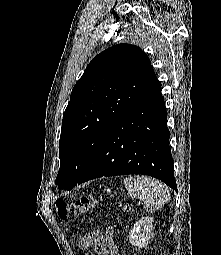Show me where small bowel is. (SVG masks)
<instances>
[{"label": "small bowel", "instance_id": "c3829d8e", "mask_svg": "<svg viewBox=\"0 0 221 255\" xmlns=\"http://www.w3.org/2000/svg\"><path fill=\"white\" fill-rule=\"evenodd\" d=\"M81 250L93 248L96 255H118V244L111 229L91 230L79 243Z\"/></svg>", "mask_w": 221, "mask_h": 255}]
</instances>
